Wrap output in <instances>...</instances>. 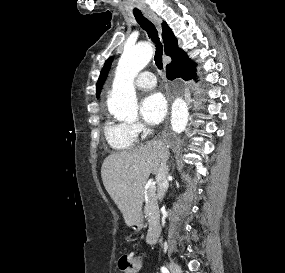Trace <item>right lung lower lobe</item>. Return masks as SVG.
<instances>
[{
  "mask_svg": "<svg viewBox=\"0 0 285 273\" xmlns=\"http://www.w3.org/2000/svg\"><path fill=\"white\" fill-rule=\"evenodd\" d=\"M196 64L188 57L184 60L168 65L166 67V76L169 80L182 78L184 80L195 79Z\"/></svg>",
  "mask_w": 285,
  "mask_h": 273,
  "instance_id": "right-lung-lower-lobe-1",
  "label": "right lung lower lobe"
}]
</instances>
